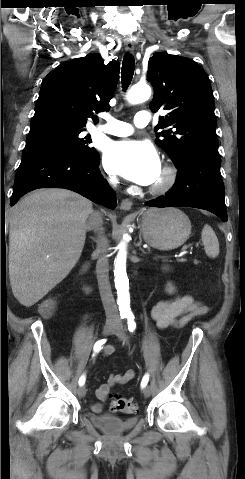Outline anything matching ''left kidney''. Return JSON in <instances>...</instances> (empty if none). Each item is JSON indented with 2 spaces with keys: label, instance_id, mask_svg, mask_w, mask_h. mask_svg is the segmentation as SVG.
<instances>
[{
  "label": "left kidney",
  "instance_id": "left-kidney-1",
  "mask_svg": "<svg viewBox=\"0 0 245 479\" xmlns=\"http://www.w3.org/2000/svg\"><path fill=\"white\" fill-rule=\"evenodd\" d=\"M163 269L168 270L167 267H164ZM166 291H167L168 293H173L174 287H173L170 283H168L167 286H166Z\"/></svg>",
  "mask_w": 245,
  "mask_h": 479
}]
</instances>
